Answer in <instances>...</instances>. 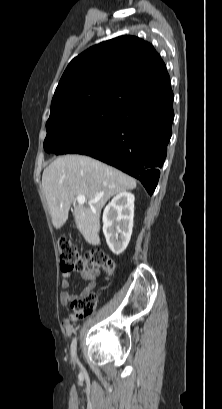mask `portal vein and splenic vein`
<instances>
[{
	"label": "portal vein and splenic vein",
	"mask_w": 222,
	"mask_h": 409,
	"mask_svg": "<svg viewBox=\"0 0 222 409\" xmlns=\"http://www.w3.org/2000/svg\"><path fill=\"white\" fill-rule=\"evenodd\" d=\"M77 202L79 204H84L86 202L85 196L84 195H78L77 196ZM93 202H95V201H88L89 204H92Z\"/></svg>",
	"instance_id": "1"
}]
</instances>
